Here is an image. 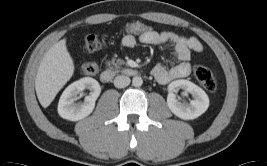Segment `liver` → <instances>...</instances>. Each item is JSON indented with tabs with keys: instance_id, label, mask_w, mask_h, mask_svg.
<instances>
[{
	"instance_id": "obj_1",
	"label": "liver",
	"mask_w": 267,
	"mask_h": 166,
	"mask_svg": "<svg viewBox=\"0 0 267 166\" xmlns=\"http://www.w3.org/2000/svg\"><path fill=\"white\" fill-rule=\"evenodd\" d=\"M74 73V62L66 39L55 43L44 55L35 78V90L42 107H48Z\"/></svg>"
}]
</instances>
